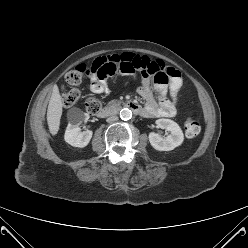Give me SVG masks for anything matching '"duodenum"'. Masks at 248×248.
Listing matches in <instances>:
<instances>
[{"label": "duodenum", "mask_w": 248, "mask_h": 248, "mask_svg": "<svg viewBox=\"0 0 248 248\" xmlns=\"http://www.w3.org/2000/svg\"><path fill=\"white\" fill-rule=\"evenodd\" d=\"M126 107H128L129 109H131L134 113L138 114L141 112V107L133 102H128L126 103ZM115 112L114 109L110 108V107H104L102 109H100L97 113L96 116L98 118H105L111 114H113Z\"/></svg>", "instance_id": "duodenum-1"}]
</instances>
